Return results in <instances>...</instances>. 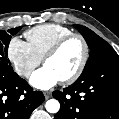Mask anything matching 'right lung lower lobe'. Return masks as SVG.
Masks as SVG:
<instances>
[{
	"label": "right lung lower lobe",
	"instance_id": "obj_1",
	"mask_svg": "<svg viewBox=\"0 0 119 119\" xmlns=\"http://www.w3.org/2000/svg\"><path fill=\"white\" fill-rule=\"evenodd\" d=\"M44 99L41 91H33L15 72L0 74V119H29Z\"/></svg>",
	"mask_w": 119,
	"mask_h": 119
}]
</instances>
